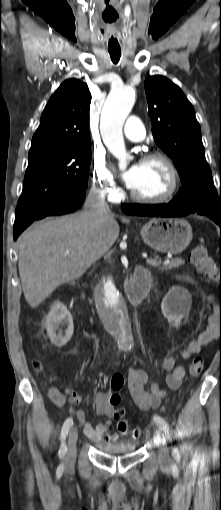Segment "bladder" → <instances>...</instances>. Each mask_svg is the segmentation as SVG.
<instances>
[{
  "instance_id": "1",
  "label": "bladder",
  "mask_w": 221,
  "mask_h": 510,
  "mask_svg": "<svg viewBox=\"0 0 221 510\" xmlns=\"http://www.w3.org/2000/svg\"><path fill=\"white\" fill-rule=\"evenodd\" d=\"M97 448L111 455H122L133 452L136 449V443L131 440L117 441L114 443L98 442Z\"/></svg>"
}]
</instances>
